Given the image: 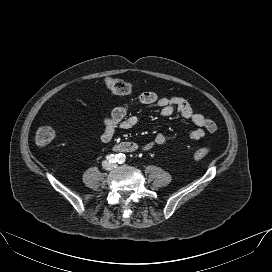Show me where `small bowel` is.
I'll return each mask as SVG.
<instances>
[{
	"label": "small bowel",
	"instance_id": "1",
	"mask_svg": "<svg viewBox=\"0 0 272 272\" xmlns=\"http://www.w3.org/2000/svg\"><path fill=\"white\" fill-rule=\"evenodd\" d=\"M156 105L160 108V114L169 117L174 113L180 114L196 126V129L190 132L189 137L192 140H199L208 133H214L217 129L216 124L195 112L192 106L184 98L177 96H162L155 92H143L129 104H123L115 107L111 114L104 120V129L101 133L103 142H110L118 128L131 129L138 123L135 115H128L129 110L134 106ZM167 138L163 133H157L155 138L141 147L142 151L148 152L157 147L166 145Z\"/></svg>",
	"mask_w": 272,
	"mask_h": 272
}]
</instances>
